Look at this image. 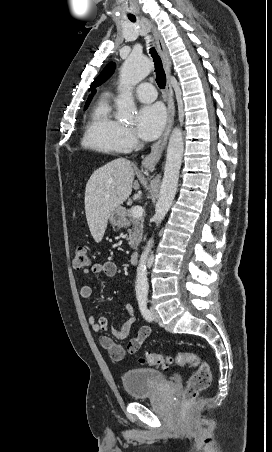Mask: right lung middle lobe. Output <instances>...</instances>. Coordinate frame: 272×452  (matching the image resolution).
I'll return each mask as SVG.
<instances>
[{
	"label": "right lung middle lobe",
	"instance_id": "1",
	"mask_svg": "<svg viewBox=\"0 0 272 452\" xmlns=\"http://www.w3.org/2000/svg\"><path fill=\"white\" fill-rule=\"evenodd\" d=\"M88 105H89V103H87V104L85 105V109L87 108Z\"/></svg>",
	"mask_w": 272,
	"mask_h": 452
}]
</instances>
